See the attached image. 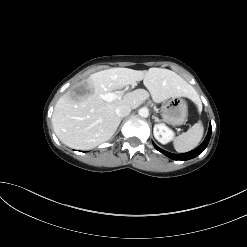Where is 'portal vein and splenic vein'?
Masks as SVG:
<instances>
[{
  "label": "portal vein and splenic vein",
  "instance_id": "obj_1",
  "mask_svg": "<svg viewBox=\"0 0 247 247\" xmlns=\"http://www.w3.org/2000/svg\"><path fill=\"white\" fill-rule=\"evenodd\" d=\"M122 95H123V92H116V93L112 92V93L101 95L100 97L107 102H112L114 100L121 99Z\"/></svg>",
  "mask_w": 247,
  "mask_h": 247
}]
</instances>
